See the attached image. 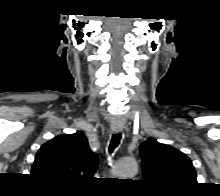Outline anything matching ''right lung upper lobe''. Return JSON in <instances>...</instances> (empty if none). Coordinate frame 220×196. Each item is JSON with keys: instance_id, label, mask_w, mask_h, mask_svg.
<instances>
[{"instance_id": "1", "label": "right lung upper lobe", "mask_w": 220, "mask_h": 196, "mask_svg": "<svg viewBox=\"0 0 220 196\" xmlns=\"http://www.w3.org/2000/svg\"><path fill=\"white\" fill-rule=\"evenodd\" d=\"M98 157L82 132L59 135L41 146L31 174L48 184L64 188L79 185L93 176Z\"/></svg>"}]
</instances>
